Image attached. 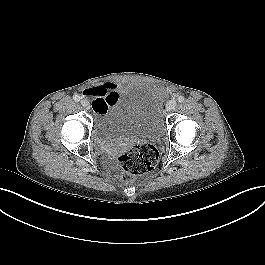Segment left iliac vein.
<instances>
[{
	"label": "left iliac vein",
	"mask_w": 265,
	"mask_h": 265,
	"mask_svg": "<svg viewBox=\"0 0 265 265\" xmlns=\"http://www.w3.org/2000/svg\"><path fill=\"white\" fill-rule=\"evenodd\" d=\"M176 107V101L175 100H170L167 105H166V110L167 111H172Z\"/></svg>",
	"instance_id": "4c4485c4"
}]
</instances>
